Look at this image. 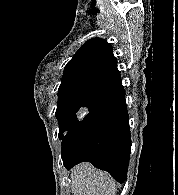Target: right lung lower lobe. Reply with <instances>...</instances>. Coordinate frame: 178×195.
I'll return each mask as SVG.
<instances>
[{"instance_id": "98d812e1", "label": "right lung lower lobe", "mask_w": 178, "mask_h": 195, "mask_svg": "<svg viewBox=\"0 0 178 195\" xmlns=\"http://www.w3.org/2000/svg\"><path fill=\"white\" fill-rule=\"evenodd\" d=\"M130 153L129 117L120 84L96 96L88 113L63 139L61 157L67 170L87 161L122 183Z\"/></svg>"}]
</instances>
